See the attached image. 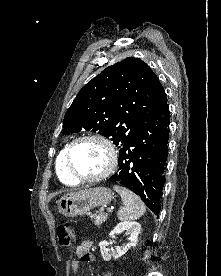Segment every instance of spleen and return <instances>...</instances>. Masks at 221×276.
Wrapping results in <instances>:
<instances>
[{
	"mask_svg": "<svg viewBox=\"0 0 221 276\" xmlns=\"http://www.w3.org/2000/svg\"><path fill=\"white\" fill-rule=\"evenodd\" d=\"M113 189L121 196L123 207L117 212L119 220H136L144 215L146 208L142 200L125 187L115 185Z\"/></svg>",
	"mask_w": 221,
	"mask_h": 276,
	"instance_id": "obj_1",
	"label": "spleen"
}]
</instances>
